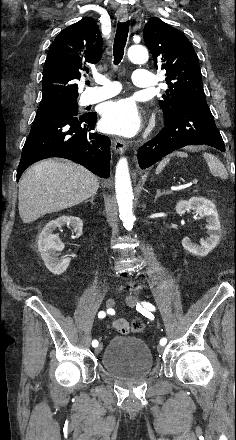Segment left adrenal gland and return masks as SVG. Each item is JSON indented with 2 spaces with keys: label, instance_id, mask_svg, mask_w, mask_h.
Masks as SVG:
<instances>
[{
  "label": "left adrenal gland",
  "instance_id": "1",
  "mask_svg": "<svg viewBox=\"0 0 236 440\" xmlns=\"http://www.w3.org/2000/svg\"><path fill=\"white\" fill-rule=\"evenodd\" d=\"M171 193V191H161L160 189H157L156 190V196H155V200L154 201H156L157 200V198L158 197H160L161 195H164V194H170Z\"/></svg>",
  "mask_w": 236,
  "mask_h": 440
}]
</instances>
